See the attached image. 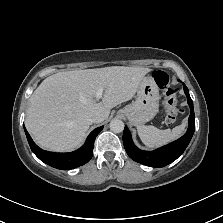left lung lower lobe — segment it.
Returning a JSON list of instances; mask_svg holds the SVG:
<instances>
[{
  "mask_svg": "<svg viewBox=\"0 0 223 223\" xmlns=\"http://www.w3.org/2000/svg\"><path fill=\"white\" fill-rule=\"evenodd\" d=\"M183 88L191 109L187 132L177 141H174L157 150L143 151L134 145L131 134L128 128L125 127L123 132V143L125 150L131 159L150 167H164L175 161L185 151L195 130V114L193 109V101L189 95L188 88L184 83Z\"/></svg>",
  "mask_w": 223,
  "mask_h": 223,
  "instance_id": "obj_1",
  "label": "left lung lower lobe"
}]
</instances>
